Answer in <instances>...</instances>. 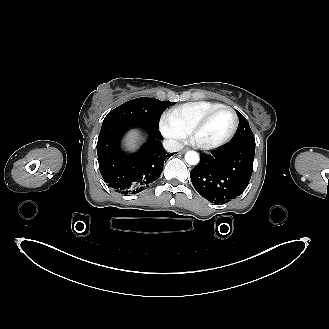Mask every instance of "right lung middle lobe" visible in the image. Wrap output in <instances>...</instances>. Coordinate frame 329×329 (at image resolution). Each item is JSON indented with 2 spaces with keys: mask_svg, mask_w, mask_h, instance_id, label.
<instances>
[{
  "mask_svg": "<svg viewBox=\"0 0 329 329\" xmlns=\"http://www.w3.org/2000/svg\"><path fill=\"white\" fill-rule=\"evenodd\" d=\"M174 103L145 97L133 99L109 112L102 126L108 123H123L158 129L161 114Z\"/></svg>",
  "mask_w": 329,
  "mask_h": 329,
  "instance_id": "dd1d6c3e",
  "label": "right lung middle lobe"
}]
</instances>
